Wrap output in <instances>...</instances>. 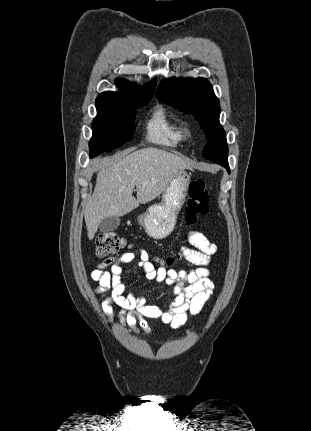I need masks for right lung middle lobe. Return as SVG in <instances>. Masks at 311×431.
I'll return each mask as SVG.
<instances>
[{
    "label": "right lung middle lobe",
    "mask_w": 311,
    "mask_h": 431,
    "mask_svg": "<svg viewBox=\"0 0 311 431\" xmlns=\"http://www.w3.org/2000/svg\"><path fill=\"white\" fill-rule=\"evenodd\" d=\"M151 97L147 98H112L97 97V116L93 120V136L89 142L90 157L104 151L121 146L129 141L136 124L135 108L145 106Z\"/></svg>",
    "instance_id": "right-lung-middle-lobe-1"
}]
</instances>
